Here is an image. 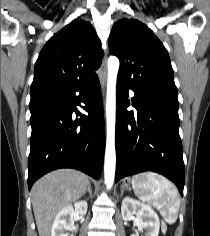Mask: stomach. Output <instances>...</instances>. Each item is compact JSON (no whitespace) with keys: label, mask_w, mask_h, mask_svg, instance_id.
Instances as JSON below:
<instances>
[{"label":"stomach","mask_w":210,"mask_h":236,"mask_svg":"<svg viewBox=\"0 0 210 236\" xmlns=\"http://www.w3.org/2000/svg\"><path fill=\"white\" fill-rule=\"evenodd\" d=\"M123 187H129V181L126 183V182H124L123 183Z\"/></svg>","instance_id":"stomach-1"}]
</instances>
